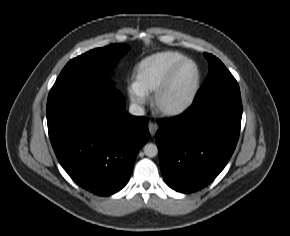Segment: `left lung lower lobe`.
<instances>
[{
    "mask_svg": "<svg viewBox=\"0 0 290 236\" xmlns=\"http://www.w3.org/2000/svg\"><path fill=\"white\" fill-rule=\"evenodd\" d=\"M241 118L236 83L197 98L179 116L159 120L155 137L167 185L190 193L213 181L235 150Z\"/></svg>",
    "mask_w": 290,
    "mask_h": 236,
    "instance_id": "1",
    "label": "left lung lower lobe"
}]
</instances>
